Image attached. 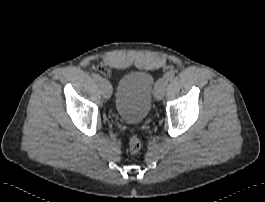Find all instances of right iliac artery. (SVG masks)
<instances>
[{
  "instance_id": "82829eb1",
  "label": "right iliac artery",
  "mask_w": 265,
  "mask_h": 202,
  "mask_svg": "<svg viewBox=\"0 0 265 202\" xmlns=\"http://www.w3.org/2000/svg\"><path fill=\"white\" fill-rule=\"evenodd\" d=\"M92 78L96 82H99L102 79V77L99 74H97V73H93L92 74Z\"/></svg>"
}]
</instances>
